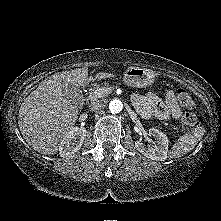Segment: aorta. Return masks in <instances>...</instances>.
Instances as JSON below:
<instances>
[{"label":"aorta","mask_w":221,"mask_h":221,"mask_svg":"<svg viewBox=\"0 0 221 221\" xmlns=\"http://www.w3.org/2000/svg\"><path fill=\"white\" fill-rule=\"evenodd\" d=\"M123 109V103L119 99H114L109 103V110L112 114L120 113Z\"/></svg>","instance_id":"1"}]
</instances>
